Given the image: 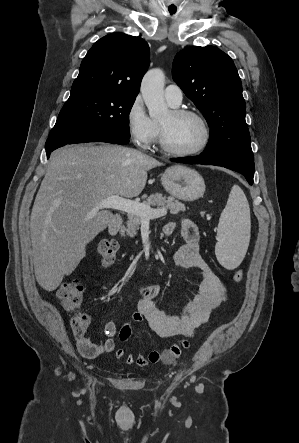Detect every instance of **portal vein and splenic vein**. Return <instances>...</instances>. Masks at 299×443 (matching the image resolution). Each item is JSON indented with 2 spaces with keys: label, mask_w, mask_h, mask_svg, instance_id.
Masks as SVG:
<instances>
[{
  "label": "portal vein and splenic vein",
  "mask_w": 299,
  "mask_h": 443,
  "mask_svg": "<svg viewBox=\"0 0 299 443\" xmlns=\"http://www.w3.org/2000/svg\"><path fill=\"white\" fill-rule=\"evenodd\" d=\"M98 208L115 209L126 213L136 214L142 220H150L165 216V209H153L143 203L122 198L118 195H111L100 201Z\"/></svg>",
  "instance_id": "portal-vein-and-splenic-vein-1"
}]
</instances>
